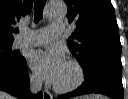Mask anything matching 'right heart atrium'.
<instances>
[{"mask_svg": "<svg viewBox=\"0 0 128 99\" xmlns=\"http://www.w3.org/2000/svg\"><path fill=\"white\" fill-rule=\"evenodd\" d=\"M29 78H30V81L33 85L39 86L41 84V79L37 74L32 73V74H30Z\"/></svg>", "mask_w": 128, "mask_h": 99, "instance_id": "1", "label": "right heart atrium"}]
</instances>
